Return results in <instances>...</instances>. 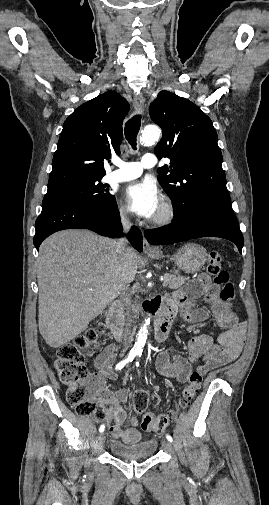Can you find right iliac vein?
Instances as JSON below:
<instances>
[{"instance_id": "63e3f726", "label": "right iliac vein", "mask_w": 269, "mask_h": 505, "mask_svg": "<svg viewBox=\"0 0 269 505\" xmlns=\"http://www.w3.org/2000/svg\"><path fill=\"white\" fill-rule=\"evenodd\" d=\"M105 442V434L102 432L97 439V447L101 448Z\"/></svg>"}]
</instances>
